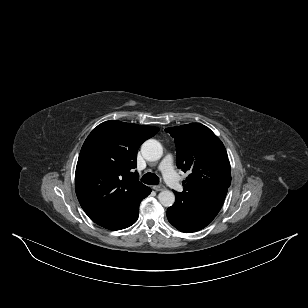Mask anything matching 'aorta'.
Wrapping results in <instances>:
<instances>
[{"mask_svg":"<svg viewBox=\"0 0 308 308\" xmlns=\"http://www.w3.org/2000/svg\"><path fill=\"white\" fill-rule=\"evenodd\" d=\"M141 153L146 160L157 161L163 155V148L157 140L149 139L143 143ZM158 200L164 207H170L175 202V195L172 191L163 190L159 193Z\"/></svg>","mask_w":308,"mask_h":308,"instance_id":"aorta-1","label":"aorta"}]
</instances>
